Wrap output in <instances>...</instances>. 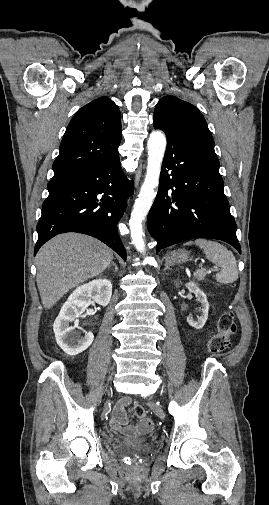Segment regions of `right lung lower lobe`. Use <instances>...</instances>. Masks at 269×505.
<instances>
[{
	"mask_svg": "<svg viewBox=\"0 0 269 505\" xmlns=\"http://www.w3.org/2000/svg\"><path fill=\"white\" fill-rule=\"evenodd\" d=\"M37 224L39 248L57 234L78 232L93 236L126 260L116 229L133 186L124 176L119 154L75 172L54 177Z\"/></svg>",
	"mask_w": 269,
	"mask_h": 505,
	"instance_id": "obj_1",
	"label": "right lung lower lobe"
}]
</instances>
